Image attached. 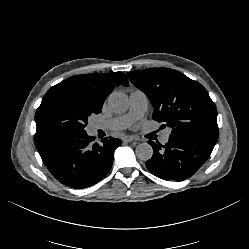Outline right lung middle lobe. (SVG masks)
Returning a JSON list of instances; mask_svg holds the SVG:
<instances>
[{"label": "right lung middle lobe", "instance_id": "obj_1", "mask_svg": "<svg viewBox=\"0 0 249 249\" xmlns=\"http://www.w3.org/2000/svg\"><path fill=\"white\" fill-rule=\"evenodd\" d=\"M100 112L79 96L57 95L41 102L37 109L36 133L43 138L83 134L88 118Z\"/></svg>", "mask_w": 249, "mask_h": 249}]
</instances>
